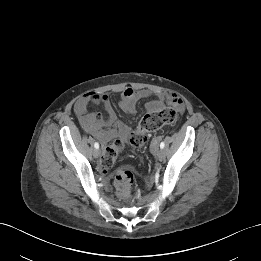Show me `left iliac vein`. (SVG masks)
Returning <instances> with one entry per match:
<instances>
[{
	"label": "left iliac vein",
	"instance_id": "left-iliac-vein-1",
	"mask_svg": "<svg viewBox=\"0 0 261 261\" xmlns=\"http://www.w3.org/2000/svg\"><path fill=\"white\" fill-rule=\"evenodd\" d=\"M155 156H156L157 159H159L160 161L163 160L164 157H165L163 149H157V150L155 151Z\"/></svg>",
	"mask_w": 261,
	"mask_h": 261
}]
</instances>
